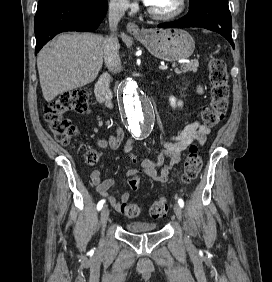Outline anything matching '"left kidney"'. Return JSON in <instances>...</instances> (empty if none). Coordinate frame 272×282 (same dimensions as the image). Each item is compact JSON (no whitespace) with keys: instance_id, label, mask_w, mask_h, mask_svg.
Instances as JSON below:
<instances>
[{"instance_id":"left-kidney-1","label":"left kidney","mask_w":272,"mask_h":282,"mask_svg":"<svg viewBox=\"0 0 272 282\" xmlns=\"http://www.w3.org/2000/svg\"><path fill=\"white\" fill-rule=\"evenodd\" d=\"M169 101H170V105H171L172 107H176V105H178L179 107L182 106V101H178V102L176 103V99H175L174 97H170V98H169Z\"/></svg>"}]
</instances>
